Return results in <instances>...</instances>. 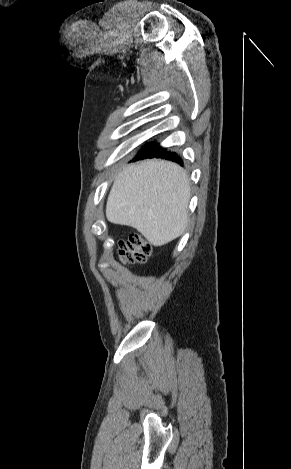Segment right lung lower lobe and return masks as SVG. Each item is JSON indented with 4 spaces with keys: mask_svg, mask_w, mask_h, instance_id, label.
Segmentation results:
<instances>
[{
    "mask_svg": "<svg viewBox=\"0 0 291 469\" xmlns=\"http://www.w3.org/2000/svg\"><path fill=\"white\" fill-rule=\"evenodd\" d=\"M153 157L175 161L180 165H183V161L177 153L166 151L156 143L149 144L145 149L139 152L133 160Z\"/></svg>",
    "mask_w": 291,
    "mask_h": 469,
    "instance_id": "98d812e1",
    "label": "right lung lower lobe"
}]
</instances>
